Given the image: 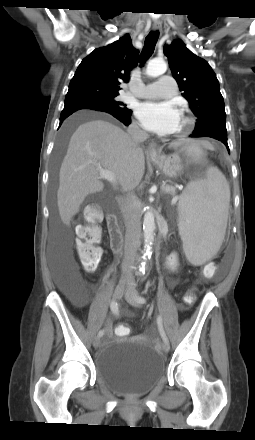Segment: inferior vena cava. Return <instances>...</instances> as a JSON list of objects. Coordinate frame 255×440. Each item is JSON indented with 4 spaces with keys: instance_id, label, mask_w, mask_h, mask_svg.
Instances as JSON below:
<instances>
[{
    "instance_id": "1",
    "label": "inferior vena cava",
    "mask_w": 255,
    "mask_h": 440,
    "mask_svg": "<svg viewBox=\"0 0 255 440\" xmlns=\"http://www.w3.org/2000/svg\"><path fill=\"white\" fill-rule=\"evenodd\" d=\"M127 132L132 138L134 146H138L139 143L145 141L148 137V134L141 130L136 123L131 124ZM127 191V198L123 206L126 233L121 278L124 280L132 278V264L140 246L141 236V215L138 209V199L131 189Z\"/></svg>"
}]
</instances>
